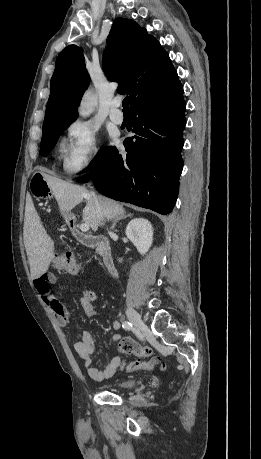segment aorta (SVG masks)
I'll return each mask as SVG.
<instances>
[{
  "label": "aorta",
  "mask_w": 261,
  "mask_h": 459,
  "mask_svg": "<svg viewBox=\"0 0 261 459\" xmlns=\"http://www.w3.org/2000/svg\"><path fill=\"white\" fill-rule=\"evenodd\" d=\"M97 105V98L92 91L85 92L83 99L80 103L79 114L82 117H88Z\"/></svg>",
  "instance_id": "762f6f07"
}]
</instances>
